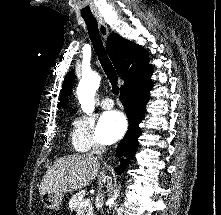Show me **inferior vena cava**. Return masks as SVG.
Segmentation results:
<instances>
[{"label": "inferior vena cava", "instance_id": "602c4592", "mask_svg": "<svg viewBox=\"0 0 221 215\" xmlns=\"http://www.w3.org/2000/svg\"><path fill=\"white\" fill-rule=\"evenodd\" d=\"M106 150V147L105 145L99 143V142H96L94 145H93V148H92V151L90 152L91 155H97L98 157L101 156ZM102 182L103 180L100 179L99 180V191H98V195L101 196V193H100V189L102 187Z\"/></svg>", "mask_w": 221, "mask_h": 215}]
</instances>
